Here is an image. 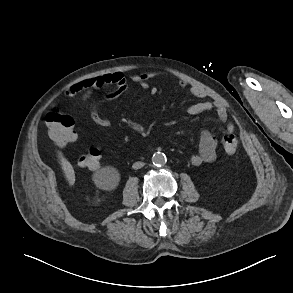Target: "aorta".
Here are the masks:
<instances>
[{"label": "aorta", "instance_id": "762f6f07", "mask_svg": "<svg viewBox=\"0 0 293 293\" xmlns=\"http://www.w3.org/2000/svg\"><path fill=\"white\" fill-rule=\"evenodd\" d=\"M166 161V156L162 152H155L152 156V163L156 166L164 165Z\"/></svg>", "mask_w": 293, "mask_h": 293}]
</instances>
